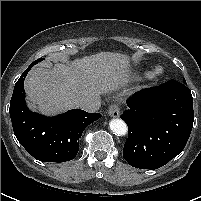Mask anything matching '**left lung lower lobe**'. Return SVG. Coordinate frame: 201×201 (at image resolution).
I'll use <instances>...</instances> for the list:
<instances>
[{
    "instance_id": "obj_1",
    "label": "left lung lower lobe",
    "mask_w": 201,
    "mask_h": 201,
    "mask_svg": "<svg viewBox=\"0 0 201 201\" xmlns=\"http://www.w3.org/2000/svg\"><path fill=\"white\" fill-rule=\"evenodd\" d=\"M121 116L128 125L123 157L133 167L158 169L184 149L194 121L186 82L170 80L137 92Z\"/></svg>"
}]
</instances>
